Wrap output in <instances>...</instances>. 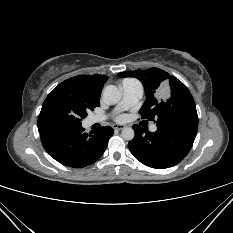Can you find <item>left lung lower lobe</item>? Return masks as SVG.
Returning a JSON list of instances; mask_svg holds the SVG:
<instances>
[{"label": "left lung lower lobe", "instance_id": "obj_1", "mask_svg": "<svg viewBox=\"0 0 233 233\" xmlns=\"http://www.w3.org/2000/svg\"><path fill=\"white\" fill-rule=\"evenodd\" d=\"M135 137L128 144L130 152L142 164L164 169L178 164L190 151L197 128H158L156 132L134 125Z\"/></svg>", "mask_w": 233, "mask_h": 233}]
</instances>
